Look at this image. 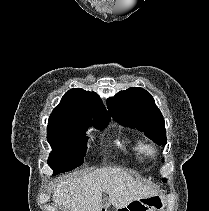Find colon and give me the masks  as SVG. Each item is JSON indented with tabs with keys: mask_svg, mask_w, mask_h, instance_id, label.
Returning a JSON list of instances; mask_svg holds the SVG:
<instances>
[{
	"mask_svg": "<svg viewBox=\"0 0 209 211\" xmlns=\"http://www.w3.org/2000/svg\"><path fill=\"white\" fill-rule=\"evenodd\" d=\"M160 206L161 200L159 197H150L133 200L127 206L119 209V211H148L153 207L159 208Z\"/></svg>",
	"mask_w": 209,
	"mask_h": 211,
	"instance_id": "colon-1",
	"label": "colon"
}]
</instances>
